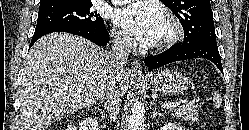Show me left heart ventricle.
<instances>
[{
  "label": "left heart ventricle",
  "mask_w": 249,
  "mask_h": 130,
  "mask_svg": "<svg viewBox=\"0 0 249 130\" xmlns=\"http://www.w3.org/2000/svg\"><path fill=\"white\" fill-rule=\"evenodd\" d=\"M169 34V27L167 26L166 22L163 25V28L161 30L159 41L164 39Z\"/></svg>",
  "instance_id": "b2bd125f"
}]
</instances>
